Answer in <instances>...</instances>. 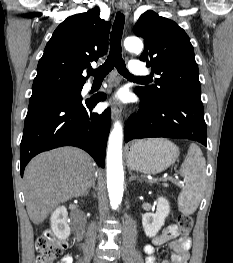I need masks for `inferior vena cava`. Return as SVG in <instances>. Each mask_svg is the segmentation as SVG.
Returning <instances> with one entry per match:
<instances>
[{
  "instance_id": "602c4592",
  "label": "inferior vena cava",
  "mask_w": 233,
  "mask_h": 263,
  "mask_svg": "<svg viewBox=\"0 0 233 263\" xmlns=\"http://www.w3.org/2000/svg\"><path fill=\"white\" fill-rule=\"evenodd\" d=\"M94 263H104L102 259L95 258Z\"/></svg>"
}]
</instances>
